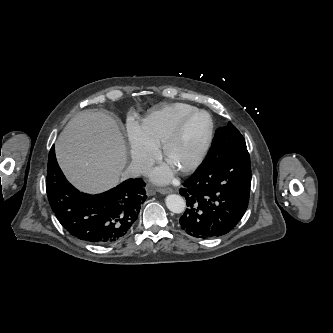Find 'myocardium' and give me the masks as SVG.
I'll use <instances>...</instances> for the list:
<instances>
[{"mask_svg": "<svg viewBox=\"0 0 333 333\" xmlns=\"http://www.w3.org/2000/svg\"><path fill=\"white\" fill-rule=\"evenodd\" d=\"M204 114L208 118V128L202 139V142L194 155V157L185 165L174 168L176 172L180 174H186L195 170L203 161L206 156L214 133V120L211 114L203 109H195L187 114H185L177 123L173 131L167 137L165 142L163 143L162 154L164 159L169 163V158L172 150L177 146V144L181 141L185 127L189 120L196 115Z\"/></svg>", "mask_w": 333, "mask_h": 333, "instance_id": "1", "label": "myocardium"}]
</instances>
